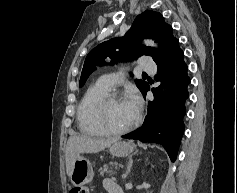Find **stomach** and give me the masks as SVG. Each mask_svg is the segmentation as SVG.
<instances>
[{"label":"stomach","instance_id":"obj_1","mask_svg":"<svg viewBox=\"0 0 237 193\" xmlns=\"http://www.w3.org/2000/svg\"><path fill=\"white\" fill-rule=\"evenodd\" d=\"M135 144L132 142L116 141L112 143L108 149L109 152L116 157H126L135 149ZM94 172L92 164L89 160L82 156H77L72 168L71 182L75 186H82L93 179Z\"/></svg>","mask_w":237,"mask_h":193}]
</instances>
